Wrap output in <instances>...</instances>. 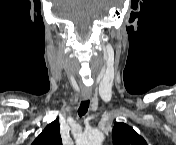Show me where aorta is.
Here are the masks:
<instances>
[{
  "mask_svg": "<svg viewBox=\"0 0 176 145\" xmlns=\"http://www.w3.org/2000/svg\"><path fill=\"white\" fill-rule=\"evenodd\" d=\"M104 140L103 133L98 129H92L83 134V145H101Z\"/></svg>",
  "mask_w": 176,
  "mask_h": 145,
  "instance_id": "1",
  "label": "aorta"
}]
</instances>
